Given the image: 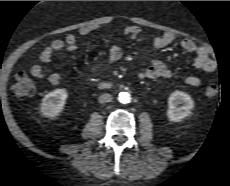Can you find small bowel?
Here are the masks:
<instances>
[{"instance_id": "small-bowel-1", "label": "small bowel", "mask_w": 230, "mask_h": 186, "mask_svg": "<svg viewBox=\"0 0 230 186\" xmlns=\"http://www.w3.org/2000/svg\"><path fill=\"white\" fill-rule=\"evenodd\" d=\"M99 26H88L83 27L79 30V35L87 36L90 33L98 30ZM123 33L126 36L136 38L141 35L142 31L138 26L127 25L123 29ZM176 36L172 33H165L160 36H155L152 38V52L156 49H160L171 45L176 41ZM78 36L75 33H69L64 39H56L51 42V44L45 47L38 57V63L34 64L30 72L31 74L39 79L47 78L52 85H58L63 79L61 73H51L47 74L46 70L43 68L44 64L50 62L54 54L63 51H73L78 48L77 46ZM180 47L194 55L193 66L205 73H212L216 70V62L210 58L209 52L206 48L196 44L193 40L184 38L179 42ZM123 52L119 45H112L109 50L107 65H111L122 58ZM172 77V72L165 66L163 62L157 60L150 56V66L144 71L139 73V78L145 79H170ZM185 82L190 86H199L200 79L197 76L190 75L185 78Z\"/></svg>"}]
</instances>
